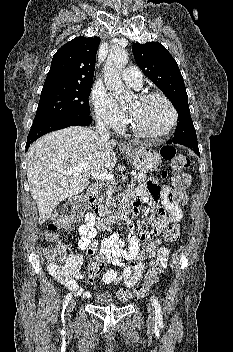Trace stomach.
<instances>
[{
	"mask_svg": "<svg viewBox=\"0 0 233 352\" xmlns=\"http://www.w3.org/2000/svg\"><path fill=\"white\" fill-rule=\"evenodd\" d=\"M124 151L133 166L144 173L153 171L161 162L159 153L149 147L128 148Z\"/></svg>",
	"mask_w": 233,
	"mask_h": 352,
	"instance_id": "0dacf381",
	"label": "stomach"
}]
</instances>
